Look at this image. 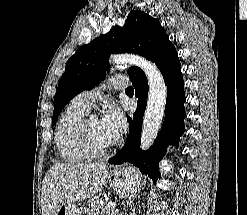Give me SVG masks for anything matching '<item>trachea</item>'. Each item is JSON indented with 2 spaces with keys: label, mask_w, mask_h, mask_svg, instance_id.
Masks as SVG:
<instances>
[{
  "label": "trachea",
  "mask_w": 247,
  "mask_h": 215,
  "mask_svg": "<svg viewBox=\"0 0 247 215\" xmlns=\"http://www.w3.org/2000/svg\"><path fill=\"white\" fill-rule=\"evenodd\" d=\"M125 91H134L132 87H128Z\"/></svg>",
  "instance_id": "trachea-1"
}]
</instances>
